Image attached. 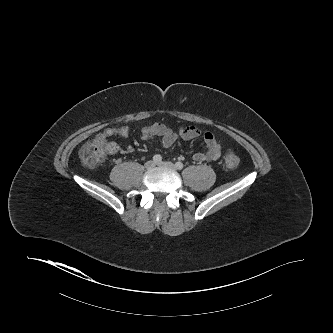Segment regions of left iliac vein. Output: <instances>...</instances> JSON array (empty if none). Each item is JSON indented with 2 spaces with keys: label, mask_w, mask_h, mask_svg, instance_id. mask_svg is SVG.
Wrapping results in <instances>:
<instances>
[{
  "label": "left iliac vein",
  "mask_w": 333,
  "mask_h": 333,
  "mask_svg": "<svg viewBox=\"0 0 333 333\" xmlns=\"http://www.w3.org/2000/svg\"><path fill=\"white\" fill-rule=\"evenodd\" d=\"M158 166H161V167H166V168H170V169H175V165L171 162H160L157 164Z\"/></svg>",
  "instance_id": "obj_1"
}]
</instances>
